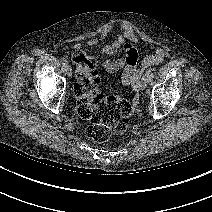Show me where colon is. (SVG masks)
Masks as SVG:
<instances>
[{"instance_id":"obj_1","label":"colon","mask_w":212,"mask_h":212,"mask_svg":"<svg viewBox=\"0 0 212 212\" xmlns=\"http://www.w3.org/2000/svg\"><path fill=\"white\" fill-rule=\"evenodd\" d=\"M73 63L76 74L75 90L79 96L78 113L90 122L86 129L88 138L105 142L112 136L124 134L132 111L129 101L100 92L97 64L93 57L78 51L74 53ZM123 82L129 84L127 78H123Z\"/></svg>"}]
</instances>
